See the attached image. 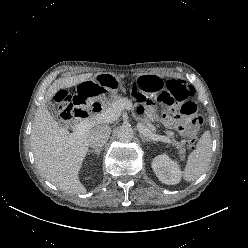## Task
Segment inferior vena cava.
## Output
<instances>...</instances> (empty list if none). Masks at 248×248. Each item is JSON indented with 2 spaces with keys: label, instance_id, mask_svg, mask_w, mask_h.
<instances>
[{
  "label": "inferior vena cava",
  "instance_id": "602c4592",
  "mask_svg": "<svg viewBox=\"0 0 248 248\" xmlns=\"http://www.w3.org/2000/svg\"><path fill=\"white\" fill-rule=\"evenodd\" d=\"M111 128L101 124L94 127L89 135L88 144L91 148L98 149L103 147L109 139Z\"/></svg>",
  "mask_w": 248,
  "mask_h": 248
}]
</instances>
